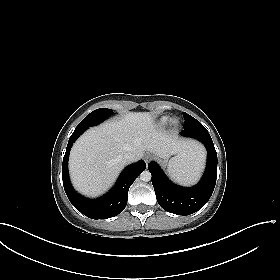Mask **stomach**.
I'll use <instances>...</instances> for the list:
<instances>
[{
  "instance_id": "obj_1",
  "label": "stomach",
  "mask_w": 280,
  "mask_h": 280,
  "mask_svg": "<svg viewBox=\"0 0 280 280\" xmlns=\"http://www.w3.org/2000/svg\"><path fill=\"white\" fill-rule=\"evenodd\" d=\"M167 159H168V158H165V161H166ZM173 159H174V158H173ZM173 159H172V160H173Z\"/></svg>"
}]
</instances>
